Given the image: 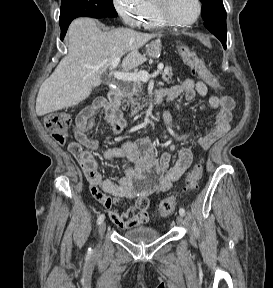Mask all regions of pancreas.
Returning a JSON list of instances; mask_svg holds the SVG:
<instances>
[{"label":"pancreas","instance_id":"obj_1","mask_svg":"<svg viewBox=\"0 0 273 288\" xmlns=\"http://www.w3.org/2000/svg\"><path fill=\"white\" fill-rule=\"evenodd\" d=\"M172 77H173L172 68L165 67L162 73L163 80L169 84V83H172ZM123 94H124L123 99H122L123 104L124 103H127L128 105L131 104L135 110L141 108L140 103L135 98L136 96L138 100L144 99V98H141L144 95V92H143V85L140 81L127 83L123 89Z\"/></svg>","mask_w":273,"mask_h":288}]
</instances>
